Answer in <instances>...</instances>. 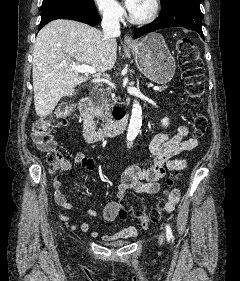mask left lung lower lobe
<instances>
[{"mask_svg":"<svg viewBox=\"0 0 240 281\" xmlns=\"http://www.w3.org/2000/svg\"><path fill=\"white\" fill-rule=\"evenodd\" d=\"M199 5L200 0H171L166 6L162 7L159 17L154 22L135 31L134 39L158 29L175 26L194 30L204 38L202 13Z\"/></svg>","mask_w":240,"mask_h":281,"instance_id":"left-lung-lower-lobe-1","label":"left lung lower lobe"}]
</instances>
